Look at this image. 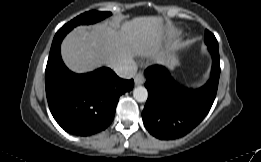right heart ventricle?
Here are the masks:
<instances>
[{
    "instance_id": "right-heart-ventricle-1",
    "label": "right heart ventricle",
    "mask_w": 261,
    "mask_h": 162,
    "mask_svg": "<svg viewBox=\"0 0 261 162\" xmlns=\"http://www.w3.org/2000/svg\"><path fill=\"white\" fill-rule=\"evenodd\" d=\"M180 35V32L178 31V30H174V31H172V33H171V36L173 37V38H176V37H178Z\"/></svg>"
}]
</instances>
